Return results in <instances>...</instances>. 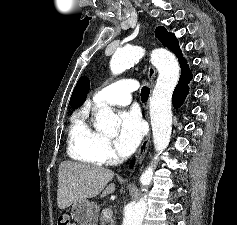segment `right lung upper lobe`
<instances>
[{
	"label": "right lung upper lobe",
	"instance_id": "right-lung-upper-lobe-1",
	"mask_svg": "<svg viewBox=\"0 0 237 225\" xmlns=\"http://www.w3.org/2000/svg\"><path fill=\"white\" fill-rule=\"evenodd\" d=\"M89 88H90V82H89L88 78L86 76L81 77L78 80V82L72 92V96L70 99V106L72 108H77L78 106L83 104V102L87 96V93L89 91Z\"/></svg>",
	"mask_w": 237,
	"mask_h": 225
}]
</instances>
